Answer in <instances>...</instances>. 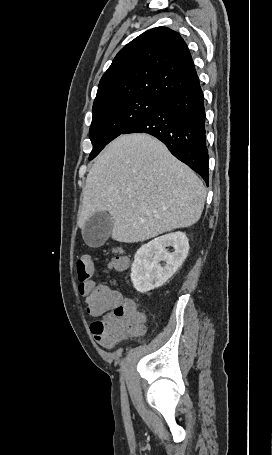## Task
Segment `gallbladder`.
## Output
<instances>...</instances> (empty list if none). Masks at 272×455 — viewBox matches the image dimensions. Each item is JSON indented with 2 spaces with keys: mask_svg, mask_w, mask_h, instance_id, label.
<instances>
[{
  "mask_svg": "<svg viewBox=\"0 0 272 455\" xmlns=\"http://www.w3.org/2000/svg\"><path fill=\"white\" fill-rule=\"evenodd\" d=\"M113 219L108 212H96L82 228V236L86 244L99 247L109 238L113 229Z\"/></svg>",
  "mask_w": 272,
  "mask_h": 455,
  "instance_id": "1",
  "label": "gallbladder"
}]
</instances>
